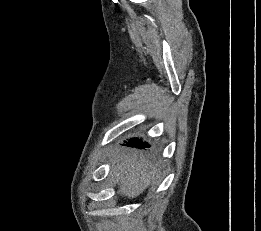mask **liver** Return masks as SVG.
Listing matches in <instances>:
<instances>
[{
  "mask_svg": "<svg viewBox=\"0 0 261 231\" xmlns=\"http://www.w3.org/2000/svg\"><path fill=\"white\" fill-rule=\"evenodd\" d=\"M111 178L118 185L120 192L128 198H135L155 182V172L151 164L138 159L130 153L114 154L111 159Z\"/></svg>",
  "mask_w": 261,
  "mask_h": 231,
  "instance_id": "6515ba94",
  "label": "liver"
}]
</instances>
